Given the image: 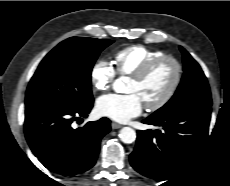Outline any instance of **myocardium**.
Returning <instances> with one entry per match:
<instances>
[{
    "label": "myocardium",
    "mask_w": 230,
    "mask_h": 186,
    "mask_svg": "<svg viewBox=\"0 0 230 186\" xmlns=\"http://www.w3.org/2000/svg\"><path fill=\"white\" fill-rule=\"evenodd\" d=\"M164 62H169L174 66V78L168 90L159 100L152 104L145 105V108L149 111H156L163 108L173 98L182 81L183 67L181 63L173 56L163 55L150 60L131 76V79L134 81H144L160 64Z\"/></svg>",
    "instance_id": "1"
}]
</instances>
